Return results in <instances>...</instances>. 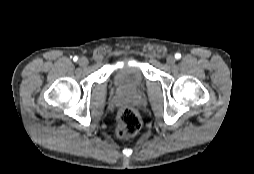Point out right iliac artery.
<instances>
[{"mask_svg": "<svg viewBox=\"0 0 254 174\" xmlns=\"http://www.w3.org/2000/svg\"><path fill=\"white\" fill-rule=\"evenodd\" d=\"M73 60L76 62V61L78 60V57L75 56V57L73 58Z\"/></svg>", "mask_w": 254, "mask_h": 174, "instance_id": "82829eb1", "label": "right iliac artery"}]
</instances>
